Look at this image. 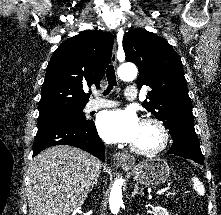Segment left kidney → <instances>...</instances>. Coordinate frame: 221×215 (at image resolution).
I'll use <instances>...</instances> for the list:
<instances>
[{"label":"left kidney","instance_id":"left-kidney-1","mask_svg":"<svg viewBox=\"0 0 221 215\" xmlns=\"http://www.w3.org/2000/svg\"><path fill=\"white\" fill-rule=\"evenodd\" d=\"M153 210L155 212L154 215H169L167 210L161 206L154 207Z\"/></svg>","mask_w":221,"mask_h":215}]
</instances>
